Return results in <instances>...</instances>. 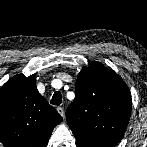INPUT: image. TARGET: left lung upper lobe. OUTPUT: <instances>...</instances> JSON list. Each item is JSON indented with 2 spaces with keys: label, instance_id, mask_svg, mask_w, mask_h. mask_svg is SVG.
I'll return each instance as SVG.
<instances>
[{
  "label": "left lung upper lobe",
  "instance_id": "1",
  "mask_svg": "<svg viewBox=\"0 0 147 147\" xmlns=\"http://www.w3.org/2000/svg\"><path fill=\"white\" fill-rule=\"evenodd\" d=\"M76 96L66 118L77 147H115L131 114V94L123 79L98 62L78 74Z\"/></svg>",
  "mask_w": 147,
  "mask_h": 147
}]
</instances>
